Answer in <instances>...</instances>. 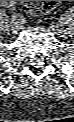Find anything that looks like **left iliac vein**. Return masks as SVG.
Listing matches in <instances>:
<instances>
[{
	"label": "left iliac vein",
	"instance_id": "left-iliac-vein-1",
	"mask_svg": "<svg viewBox=\"0 0 74 122\" xmlns=\"http://www.w3.org/2000/svg\"><path fill=\"white\" fill-rule=\"evenodd\" d=\"M60 21H62L63 22V24L64 23H67V19L65 18V17H62L61 19H60ZM59 21V22H60ZM52 30L54 31V33L56 34V35H58V36H65L66 35V30L64 29V28H62V27H60V26H58V25H54V26H52Z\"/></svg>",
	"mask_w": 74,
	"mask_h": 122
}]
</instances>
